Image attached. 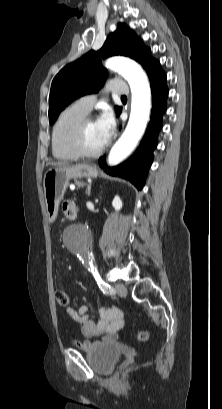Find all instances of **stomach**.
<instances>
[{"mask_svg":"<svg viewBox=\"0 0 222 409\" xmlns=\"http://www.w3.org/2000/svg\"><path fill=\"white\" fill-rule=\"evenodd\" d=\"M97 175V169L85 163L49 168L43 178L45 208L49 222L55 221L59 204L71 179L90 178Z\"/></svg>","mask_w":222,"mask_h":409,"instance_id":"obj_1","label":"stomach"}]
</instances>
